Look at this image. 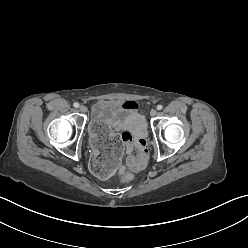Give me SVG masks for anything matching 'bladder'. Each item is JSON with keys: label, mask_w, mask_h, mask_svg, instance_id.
I'll use <instances>...</instances> for the list:
<instances>
[{"label": "bladder", "mask_w": 248, "mask_h": 248, "mask_svg": "<svg viewBox=\"0 0 248 248\" xmlns=\"http://www.w3.org/2000/svg\"><path fill=\"white\" fill-rule=\"evenodd\" d=\"M129 116V112L122 106H114L107 100L97 101L92 110L93 122L120 123ZM92 132V131H91Z\"/></svg>", "instance_id": "obj_1"}]
</instances>
